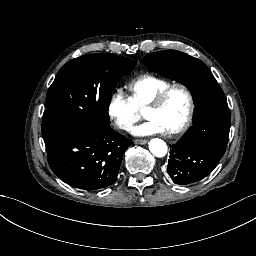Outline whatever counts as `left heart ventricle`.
I'll list each match as a JSON object with an SVG mask.
<instances>
[{"instance_id": "obj_1", "label": "left heart ventricle", "mask_w": 256, "mask_h": 256, "mask_svg": "<svg viewBox=\"0 0 256 256\" xmlns=\"http://www.w3.org/2000/svg\"><path fill=\"white\" fill-rule=\"evenodd\" d=\"M187 109L188 101L185 94L181 90L174 88L164 105L159 109L150 111V115L162 118L171 129L181 121Z\"/></svg>"}]
</instances>
